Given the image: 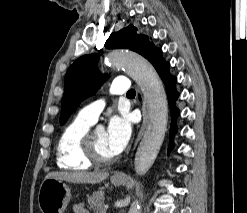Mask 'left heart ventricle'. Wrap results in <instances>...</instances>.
I'll list each match as a JSON object with an SVG mask.
<instances>
[{"label":"left heart ventricle","mask_w":247,"mask_h":213,"mask_svg":"<svg viewBox=\"0 0 247 213\" xmlns=\"http://www.w3.org/2000/svg\"><path fill=\"white\" fill-rule=\"evenodd\" d=\"M94 146L96 153L101 158H111L114 155L110 152L106 142V132L103 130H96L94 132Z\"/></svg>","instance_id":"1"}]
</instances>
